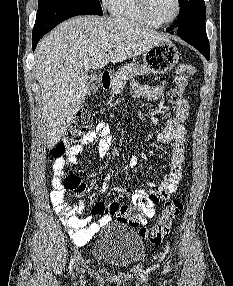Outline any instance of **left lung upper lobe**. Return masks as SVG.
Returning <instances> with one entry per match:
<instances>
[{"instance_id":"left-lung-upper-lobe-1","label":"left lung upper lobe","mask_w":233,"mask_h":286,"mask_svg":"<svg viewBox=\"0 0 233 286\" xmlns=\"http://www.w3.org/2000/svg\"><path fill=\"white\" fill-rule=\"evenodd\" d=\"M181 14L176 20L180 27L198 15L206 14L204 0H178Z\"/></svg>"}]
</instances>
